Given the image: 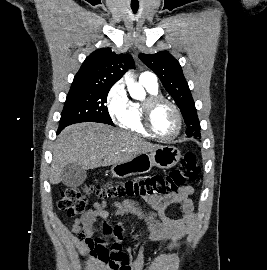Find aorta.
Instances as JSON below:
<instances>
[{
    "label": "aorta",
    "mask_w": 267,
    "mask_h": 270,
    "mask_svg": "<svg viewBox=\"0 0 267 270\" xmlns=\"http://www.w3.org/2000/svg\"><path fill=\"white\" fill-rule=\"evenodd\" d=\"M125 82L127 85V89L129 91V94L134 99H141L144 96V90L143 88L135 83L133 79H131L128 75L125 76Z\"/></svg>",
    "instance_id": "aorta-1"
}]
</instances>
